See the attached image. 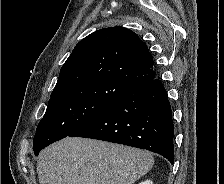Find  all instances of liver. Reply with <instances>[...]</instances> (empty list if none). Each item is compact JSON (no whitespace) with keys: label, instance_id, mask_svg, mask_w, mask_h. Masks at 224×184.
<instances>
[{"label":"liver","instance_id":"6515ba94","mask_svg":"<svg viewBox=\"0 0 224 184\" xmlns=\"http://www.w3.org/2000/svg\"><path fill=\"white\" fill-rule=\"evenodd\" d=\"M153 164L145 150L66 137L41 151L37 174L40 184H134Z\"/></svg>","mask_w":224,"mask_h":184}]
</instances>
